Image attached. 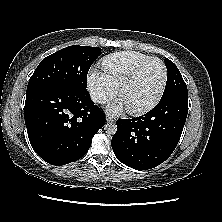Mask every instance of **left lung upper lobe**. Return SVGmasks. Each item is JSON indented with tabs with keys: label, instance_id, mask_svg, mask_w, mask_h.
Masks as SVG:
<instances>
[{
	"label": "left lung upper lobe",
	"instance_id": "obj_1",
	"mask_svg": "<svg viewBox=\"0 0 222 222\" xmlns=\"http://www.w3.org/2000/svg\"><path fill=\"white\" fill-rule=\"evenodd\" d=\"M165 65L167 67L168 75L166 87L161 99L171 95H187L186 83L184 82L177 66L169 59H165Z\"/></svg>",
	"mask_w": 222,
	"mask_h": 222
}]
</instances>
